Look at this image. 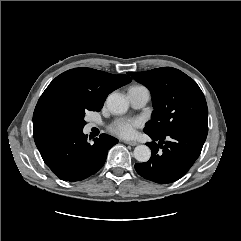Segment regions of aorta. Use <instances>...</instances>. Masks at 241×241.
Segmentation results:
<instances>
[{
  "instance_id": "obj_1",
  "label": "aorta",
  "mask_w": 241,
  "mask_h": 241,
  "mask_svg": "<svg viewBox=\"0 0 241 241\" xmlns=\"http://www.w3.org/2000/svg\"><path fill=\"white\" fill-rule=\"evenodd\" d=\"M107 106L111 113L121 115L128 110L129 102L122 94L113 93L107 98ZM133 154L137 161L147 162L151 157V150L146 145H138Z\"/></svg>"
}]
</instances>
